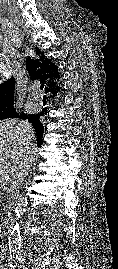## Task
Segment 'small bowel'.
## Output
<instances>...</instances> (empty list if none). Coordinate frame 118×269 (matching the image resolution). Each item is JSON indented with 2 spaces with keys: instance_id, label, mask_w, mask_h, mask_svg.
I'll return each mask as SVG.
<instances>
[{
  "instance_id": "c3829d8e",
  "label": "small bowel",
  "mask_w": 118,
  "mask_h": 269,
  "mask_svg": "<svg viewBox=\"0 0 118 269\" xmlns=\"http://www.w3.org/2000/svg\"><path fill=\"white\" fill-rule=\"evenodd\" d=\"M2 261V257H0V263ZM0 269H7V267L5 265H0Z\"/></svg>"
}]
</instances>
